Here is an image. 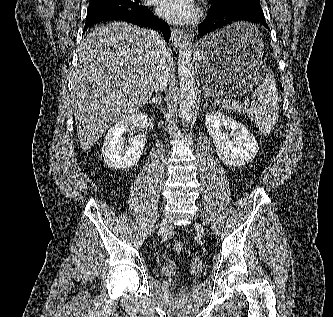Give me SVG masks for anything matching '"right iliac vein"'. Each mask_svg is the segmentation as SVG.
Returning a JSON list of instances; mask_svg holds the SVG:
<instances>
[{"instance_id":"1","label":"right iliac vein","mask_w":333,"mask_h":317,"mask_svg":"<svg viewBox=\"0 0 333 317\" xmlns=\"http://www.w3.org/2000/svg\"><path fill=\"white\" fill-rule=\"evenodd\" d=\"M168 229V225H167V222L165 220H162L160 223H159V226H158V236L159 235H163Z\"/></svg>"}]
</instances>
